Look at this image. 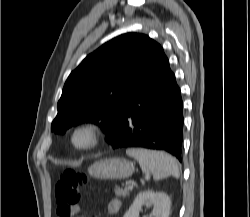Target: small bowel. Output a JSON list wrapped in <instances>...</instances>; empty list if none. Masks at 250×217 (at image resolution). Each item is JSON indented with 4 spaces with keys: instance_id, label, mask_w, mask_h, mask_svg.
I'll return each instance as SVG.
<instances>
[{
    "instance_id": "obj_1",
    "label": "small bowel",
    "mask_w": 250,
    "mask_h": 217,
    "mask_svg": "<svg viewBox=\"0 0 250 217\" xmlns=\"http://www.w3.org/2000/svg\"><path fill=\"white\" fill-rule=\"evenodd\" d=\"M121 201L117 198L111 199L105 206V211L109 214H116L120 211ZM80 211V207L76 206L68 212V214H76ZM66 214V215H68Z\"/></svg>"
}]
</instances>
